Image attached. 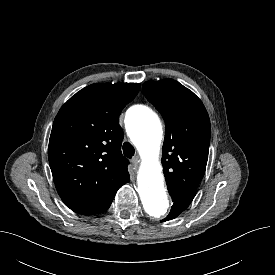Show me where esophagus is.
<instances>
[{
    "label": "esophagus",
    "mask_w": 275,
    "mask_h": 275,
    "mask_svg": "<svg viewBox=\"0 0 275 275\" xmlns=\"http://www.w3.org/2000/svg\"><path fill=\"white\" fill-rule=\"evenodd\" d=\"M131 161H132V163H133V165L135 167H138L139 164H140V158H139V156H134Z\"/></svg>",
    "instance_id": "34e87169"
}]
</instances>
